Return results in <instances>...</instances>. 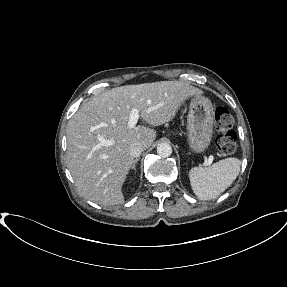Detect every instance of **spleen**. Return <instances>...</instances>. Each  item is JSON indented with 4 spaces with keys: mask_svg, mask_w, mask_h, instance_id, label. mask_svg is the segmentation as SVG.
<instances>
[{
    "mask_svg": "<svg viewBox=\"0 0 287 287\" xmlns=\"http://www.w3.org/2000/svg\"><path fill=\"white\" fill-rule=\"evenodd\" d=\"M240 160L226 158L210 167H193L189 179L194 194L200 200H212L224 192L237 178Z\"/></svg>",
    "mask_w": 287,
    "mask_h": 287,
    "instance_id": "1",
    "label": "spleen"
}]
</instances>
